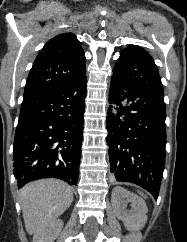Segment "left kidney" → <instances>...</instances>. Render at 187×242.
<instances>
[{
  "instance_id": "left-kidney-1",
  "label": "left kidney",
  "mask_w": 187,
  "mask_h": 242,
  "mask_svg": "<svg viewBox=\"0 0 187 242\" xmlns=\"http://www.w3.org/2000/svg\"><path fill=\"white\" fill-rule=\"evenodd\" d=\"M131 202V210H127V203ZM111 203L118 219L124 222L128 230L142 229L147 221V206L142 198L122 187L112 190Z\"/></svg>"
}]
</instances>
